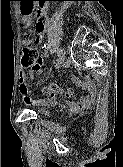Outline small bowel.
Returning a JSON list of instances; mask_svg holds the SVG:
<instances>
[{"mask_svg":"<svg viewBox=\"0 0 123 167\" xmlns=\"http://www.w3.org/2000/svg\"><path fill=\"white\" fill-rule=\"evenodd\" d=\"M33 4L34 1H19L22 17L31 16V13L34 12ZM43 31L38 34L37 43L41 41ZM42 64L43 62L40 61V65L37 68H33L32 71L40 74L42 71ZM71 80L77 87L85 91L84 95L77 98L72 88H68L64 91L57 84H49L41 89V93L43 95L42 97L38 99H30L28 97L29 86L25 80V72L24 70H21L19 73L20 93L23 97V100L27 103H35L45 106L64 104L75 110L86 109L91 106L97 96V88L95 84L89 79L80 80L76 76H72Z\"/></svg>","mask_w":123,"mask_h":167,"instance_id":"small-bowel-1","label":"small bowel"}]
</instances>
